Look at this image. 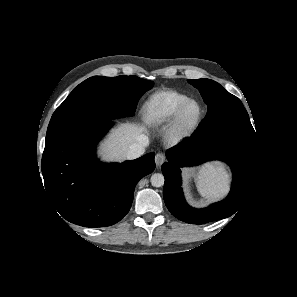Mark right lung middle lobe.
Segmentation results:
<instances>
[{"label":"right lung middle lobe","mask_w":297,"mask_h":297,"mask_svg":"<svg viewBox=\"0 0 297 297\" xmlns=\"http://www.w3.org/2000/svg\"><path fill=\"white\" fill-rule=\"evenodd\" d=\"M137 76H94L80 83L56 109L45 145L99 121L133 116L140 97L153 87Z\"/></svg>","instance_id":"obj_1"}]
</instances>
